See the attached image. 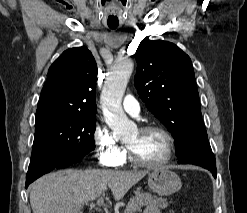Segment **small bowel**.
Returning <instances> with one entry per match:
<instances>
[{"label":"small bowel","instance_id":"c3829d8e","mask_svg":"<svg viewBox=\"0 0 247 213\" xmlns=\"http://www.w3.org/2000/svg\"><path fill=\"white\" fill-rule=\"evenodd\" d=\"M144 213H160V212L155 206L150 205L144 210Z\"/></svg>","mask_w":247,"mask_h":213}]
</instances>
